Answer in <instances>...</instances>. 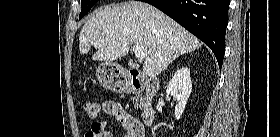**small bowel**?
I'll return each instance as SVG.
<instances>
[{
  "label": "small bowel",
  "mask_w": 280,
  "mask_h": 137,
  "mask_svg": "<svg viewBox=\"0 0 280 137\" xmlns=\"http://www.w3.org/2000/svg\"><path fill=\"white\" fill-rule=\"evenodd\" d=\"M102 114L105 116H113L116 121L125 129V137H129L131 134V125L138 126L143 135L141 124L134 117L125 112L120 104L114 101L105 102L102 105ZM112 126L113 123L110 120L95 122L91 125L90 131L85 134V137H115L114 133L110 129Z\"/></svg>",
  "instance_id": "small-bowel-1"
}]
</instances>
